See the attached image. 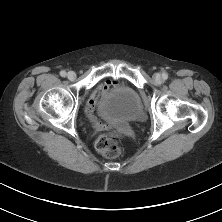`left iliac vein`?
Segmentation results:
<instances>
[{
	"label": "left iliac vein",
	"instance_id": "4c4485c4",
	"mask_svg": "<svg viewBox=\"0 0 222 222\" xmlns=\"http://www.w3.org/2000/svg\"><path fill=\"white\" fill-rule=\"evenodd\" d=\"M154 80L156 81V82H161L162 81V77H161V75L159 74V73H156L155 75H154Z\"/></svg>",
	"mask_w": 222,
	"mask_h": 222
}]
</instances>
